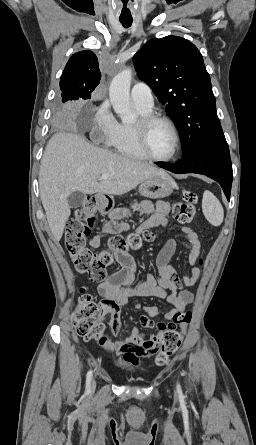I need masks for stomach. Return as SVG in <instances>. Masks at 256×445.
<instances>
[{"label": "stomach", "instance_id": "obj_1", "mask_svg": "<svg viewBox=\"0 0 256 445\" xmlns=\"http://www.w3.org/2000/svg\"><path fill=\"white\" fill-rule=\"evenodd\" d=\"M175 187V183L170 176L156 175L144 180L139 186L140 195L149 199H162L168 197ZM105 201L103 197H99L98 206L103 208ZM111 218H121L120 211L115 210L111 213Z\"/></svg>", "mask_w": 256, "mask_h": 445}]
</instances>
